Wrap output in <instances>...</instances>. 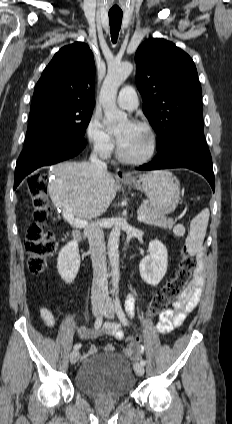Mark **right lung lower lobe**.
I'll use <instances>...</instances> for the list:
<instances>
[{
    "label": "right lung lower lobe",
    "instance_id": "98d812e1",
    "mask_svg": "<svg viewBox=\"0 0 232 424\" xmlns=\"http://www.w3.org/2000/svg\"><path fill=\"white\" fill-rule=\"evenodd\" d=\"M86 146L83 138L36 135L25 141L15 169L14 189L25 176L41 166L52 165L79 154Z\"/></svg>",
    "mask_w": 232,
    "mask_h": 424
}]
</instances>
